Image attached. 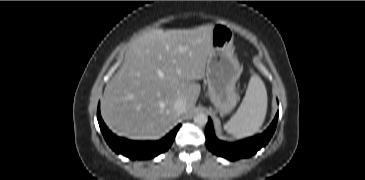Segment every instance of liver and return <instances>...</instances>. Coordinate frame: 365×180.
Instances as JSON below:
<instances>
[{
    "mask_svg": "<svg viewBox=\"0 0 365 180\" xmlns=\"http://www.w3.org/2000/svg\"><path fill=\"white\" fill-rule=\"evenodd\" d=\"M213 25L194 29L152 30L140 36L125 54L121 68L107 83L101 112L108 127L131 139H156L179 116L178 98L186 112L195 107L210 54Z\"/></svg>",
    "mask_w": 365,
    "mask_h": 180,
    "instance_id": "6515ba94",
    "label": "liver"
}]
</instances>
